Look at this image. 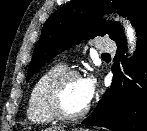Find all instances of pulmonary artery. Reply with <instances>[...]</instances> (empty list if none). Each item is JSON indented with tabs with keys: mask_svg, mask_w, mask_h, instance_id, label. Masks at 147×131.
Here are the masks:
<instances>
[{
	"mask_svg": "<svg viewBox=\"0 0 147 131\" xmlns=\"http://www.w3.org/2000/svg\"><path fill=\"white\" fill-rule=\"evenodd\" d=\"M97 50L101 53L112 52L115 50V44L110 41H100L97 43Z\"/></svg>",
	"mask_w": 147,
	"mask_h": 131,
	"instance_id": "pulmonary-artery-1",
	"label": "pulmonary artery"
}]
</instances>
